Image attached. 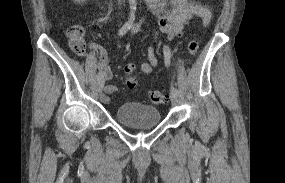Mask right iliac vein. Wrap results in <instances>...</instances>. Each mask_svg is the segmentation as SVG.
I'll return each instance as SVG.
<instances>
[{"mask_svg":"<svg viewBox=\"0 0 285 183\" xmlns=\"http://www.w3.org/2000/svg\"><path fill=\"white\" fill-rule=\"evenodd\" d=\"M96 85H97L98 91L100 92L103 89V87H104V79H99L97 81Z\"/></svg>","mask_w":285,"mask_h":183,"instance_id":"1","label":"right iliac vein"}]
</instances>
